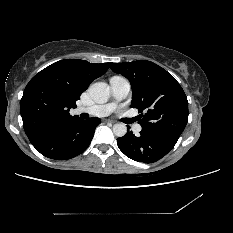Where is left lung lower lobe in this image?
Here are the masks:
<instances>
[{
	"label": "left lung lower lobe",
	"instance_id": "obj_1",
	"mask_svg": "<svg viewBox=\"0 0 233 233\" xmlns=\"http://www.w3.org/2000/svg\"><path fill=\"white\" fill-rule=\"evenodd\" d=\"M177 140L144 130H141L139 136H135L128 128L127 133L117 139V145L129 158L143 163H153L170 152Z\"/></svg>",
	"mask_w": 233,
	"mask_h": 233
}]
</instances>
